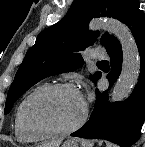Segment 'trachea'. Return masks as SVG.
<instances>
[{"label": "trachea", "mask_w": 145, "mask_h": 147, "mask_svg": "<svg viewBox=\"0 0 145 147\" xmlns=\"http://www.w3.org/2000/svg\"><path fill=\"white\" fill-rule=\"evenodd\" d=\"M100 63H102V64H107L108 62H107V61H101Z\"/></svg>", "instance_id": "3493384b"}]
</instances>
